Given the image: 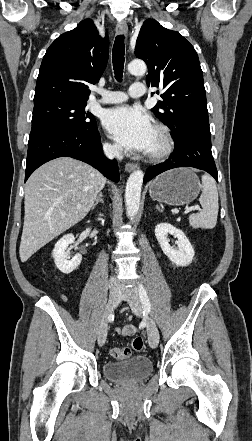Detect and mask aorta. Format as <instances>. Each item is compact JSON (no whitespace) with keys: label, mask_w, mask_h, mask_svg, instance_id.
Returning <instances> with one entry per match:
<instances>
[{"label":"aorta","mask_w":252,"mask_h":441,"mask_svg":"<svg viewBox=\"0 0 252 441\" xmlns=\"http://www.w3.org/2000/svg\"><path fill=\"white\" fill-rule=\"evenodd\" d=\"M147 66L142 60H133L128 64V71L132 75H143ZM144 173L137 169L129 176L125 190L126 213L129 218H134L140 207L141 189Z\"/></svg>","instance_id":"obj_1"}]
</instances>
